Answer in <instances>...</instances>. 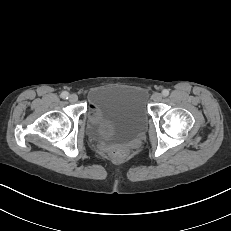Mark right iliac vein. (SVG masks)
<instances>
[{
  "label": "right iliac vein",
  "instance_id": "right-iliac-vein-1",
  "mask_svg": "<svg viewBox=\"0 0 231 231\" xmlns=\"http://www.w3.org/2000/svg\"><path fill=\"white\" fill-rule=\"evenodd\" d=\"M69 101H70L71 103H76V102L78 101V96H77L76 94H71V95L69 96Z\"/></svg>",
  "mask_w": 231,
  "mask_h": 231
}]
</instances>
